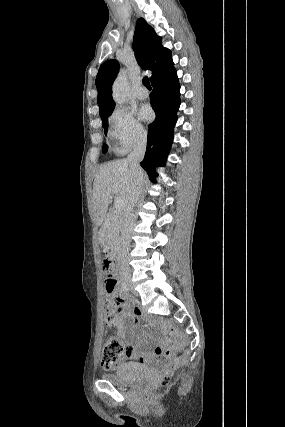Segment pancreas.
I'll list each match as a JSON object with an SVG mask.
<instances>
[{
  "instance_id": "obj_1",
  "label": "pancreas",
  "mask_w": 285,
  "mask_h": 427,
  "mask_svg": "<svg viewBox=\"0 0 285 427\" xmlns=\"http://www.w3.org/2000/svg\"><path fill=\"white\" fill-rule=\"evenodd\" d=\"M119 224L111 223L108 232H107V240L106 243L108 246H114L119 239Z\"/></svg>"
}]
</instances>
